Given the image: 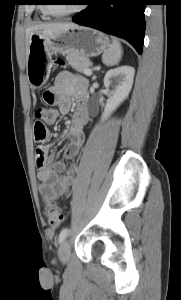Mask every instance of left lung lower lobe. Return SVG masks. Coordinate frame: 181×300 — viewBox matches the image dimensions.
<instances>
[{
	"label": "left lung lower lobe",
	"instance_id": "0a47b994",
	"mask_svg": "<svg viewBox=\"0 0 181 300\" xmlns=\"http://www.w3.org/2000/svg\"><path fill=\"white\" fill-rule=\"evenodd\" d=\"M88 7L73 16L77 24L92 27L128 41L142 53L146 0H87Z\"/></svg>",
	"mask_w": 181,
	"mask_h": 300
}]
</instances>
